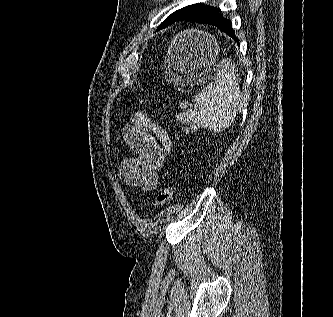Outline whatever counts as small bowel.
<instances>
[{"label":"small bowel","instance_id":"c3829d8e","mask_svg":"<svg viewBox=\"0 0 333 317\" xmlns=\"http://www.w3.org/2000/svg\"><path fill=\"white\" fill-rule=\"evenodd\" d=\"M122 136L136 155L121 161L119 179L128 187L153 192L158 170L172 147L168 131L142 112H135L123 127Z\"/></svg>","mask_w":333,"mask_h":317}]
</instances>
